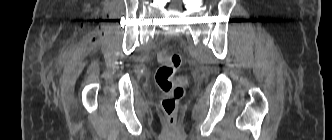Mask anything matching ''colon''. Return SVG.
Segmentation results:
<instances>
[{"label":"colon","instance_id":"5ec220e1","mask_svg":"<svg viewBox=\"0 0 332 140\" xmlns=\"http://www.w3.org/2000/svg\"><path fill=\"white\" fill-rule=\"evenodd\" d=\"M160 66L155 73V82L163 92L162 109L170 124L176 121L178 103L184 96V87L174 79L181 65V57L177 53L163 51L158 55Z\"/></svg>","mask_w":332,"mask_h":140}]
</instances>
